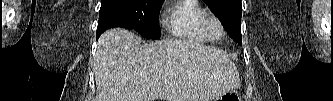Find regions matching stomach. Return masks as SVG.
Segmentation results:
<instances>
[{"label": "stomach", "instance_id": "obj_1", "mask_svg": "<svg viewBox=\"0 0 333 101\" xmlns=\"http://www.w3.org/2000/svg\"><path fill=\"white\" fill-rule=\"evenodd\" d=\"M215 101H241L238 92L235 89L217 97Z\"/></svg>", "mask_w": 333, "mask_h": 101}]
</instances>
